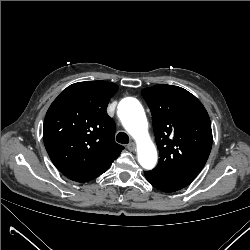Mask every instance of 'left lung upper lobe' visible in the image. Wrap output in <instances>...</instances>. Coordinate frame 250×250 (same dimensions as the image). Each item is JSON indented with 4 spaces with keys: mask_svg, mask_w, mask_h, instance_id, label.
<instances>
[{
    "mask_svg": "<svg viewBox=\"0 0 250 250\" xmlns=\"http://www.w3.org/2000/svg\"><path fill=\"white\" fill-rule=\"evenodd\" d=\"M153 120L159 173L200 172L212 147V130L202 103L187 90L159 84L142 90Z\"/></svg>",
    "mask_w": 250,
    "mask_h": 250,
    "instance_id": "1",
    "label": "left lung upper lobe"
}]
</instances>
